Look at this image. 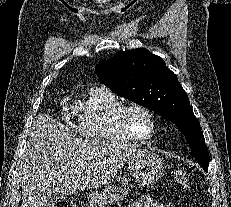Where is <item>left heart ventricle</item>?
<instances>
[{"instance_id":"b2bd125f","label":"left heart ventricle","mask_w":231,"mask_h":207,"mask_svg":"<svg viewBox=\"0 0 231 207\" xmlns=\"http://www.w3.org/2000/svg\"><path fill=\"white\" fill-rule=\"evenodd\" d=\"M129 123L134 133L140 137H147L151 132V122L141 110H132L128 115Z\"/></svg>"}]
</instances>
